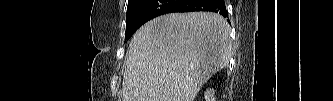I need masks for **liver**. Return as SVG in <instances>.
Wrapping results in <instances>:
<instances>
[{
  "label": "liver",
  "mask_w": 333,
  "mask_h": 101,
  "mask_svg": "<svg viewBox=\"0 0 333 101\" xmlns=\"http://www.w3.org/2000/svg\"><path fill=\"white\" fill-rule=\"evenodd\" d=\"M230 31L211 12L170 13L145 23L126 53L123 101H194L229 63Z\"/></svg>",
  "instance_id": "obj_1"
}]
</instances>
